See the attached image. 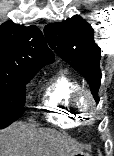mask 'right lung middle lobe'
Segmentation results:
<instances>
[{"mask_svg":"<svg viewBox=\"0 0 114 156\" xmlns=\"http://www.w3.org/2000/svg\"><path fill=\"white\" fill-rule=\"evenodd\" d=\"M31 73H0V128L8 126L22 115L26 84Z\"/></svg>","mask_w":114,"mask_h":156,"instance_id":"right-lung-middle-lobe-1","label":"right lung middle lobe"}]
</instances>
